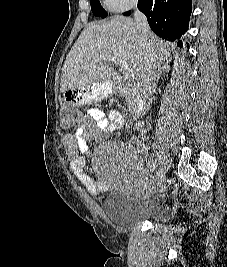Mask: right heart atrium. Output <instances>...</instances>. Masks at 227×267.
Segmentation results:
<instances>
[{
  "instance_id": "obj_1",
  "label": "right heart atrium",
  "mask_w": 227,
  "mask_h": 267,
  "mask_svg": "<svg viewBox=\"0 0 227 267\" xmlns=\"http://www.w3.org/2000/svg\"><path fill=\"white\" fill-rule=\"evenodd\" d=\"M105 4L113 11H126L137 5L138 0H104Z\"/></svg>"
}]
</instances>
